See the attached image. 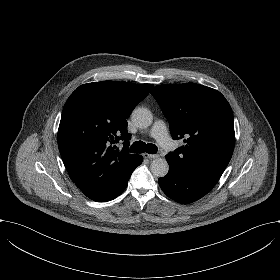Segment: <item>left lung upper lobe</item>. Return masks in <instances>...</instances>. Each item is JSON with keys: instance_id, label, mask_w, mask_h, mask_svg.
<instances>
[{"instance_id": "5c2ea615", "label": "left lung upper lobe", "mask_w": 280, "mask_h": 280, "mask_svg": "<svg viewBox=\"0 0 280 280\" xmlns=\"http://www.w3.org/2000/svg\"><path fill=\"white\" fill-rule=\"evenodd\" d=\"M151 94L169 121L172 137L185 138L186 145L166 158L222 175L235 144L233 113L225 97L196 83L158 85Z\"/></svg>"}]
</instances>
